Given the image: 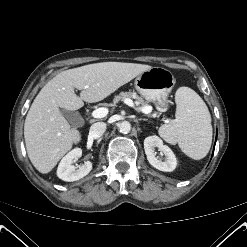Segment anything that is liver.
I'll use <instances>...</instances> for the list:
<instances>
[{
  "mask_svg": "<svg viewBox=\"0 0 247 247\" xmlns=\"http://www.w3.org/2000/svg\"><path fill=\"white\" fill-rule=\"evenodd\" d=\"M150 68L102 62L69 69L51 79L34 99L25 119L26 150L33 166L42 174L49 173L81 140L79 130L71 128L60 108L75 111L83 107V101L99 102ZM74 88L81 90L80 97Z\"/></svg>",
  "mask_w": 247,
  "mask_h": 247,
  "instance_id": "1",
  "label": "liver"
}]
</instances>
